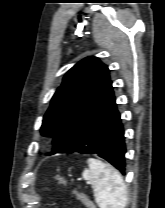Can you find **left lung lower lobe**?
<instances>
[{
	"label": "left lung lower lobe",
	"mask_w": 165,
	"mask_h": 208,
	"mask_svg": "<svg viewBox=\"0 0 165 208\" xmlns=\"http://www.w3.org/2000/svg\"><path fill=\"white\" fill-rule=\"evenodd\" d=\"M114 93L81 127L67 153H95L125 175V140Z\"/></svg>",
	"instance_id": "obj_1"
}]
</instances>
